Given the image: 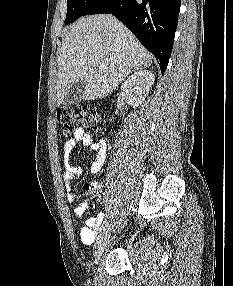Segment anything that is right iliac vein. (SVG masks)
<instances>
[{
  "instance_id": "right-iliac-vein-1",
  "label": "right iliac vein",
  "mask_w": 233,
  "mask_h": 286,
  "mask_svg": "<svg viewBox=\"0 0 233 286\" xmlns=\"http://www.w3.org/2000/svg\"><path fill=\"white\" fill-rule=\"evenodd\" d=\"M109 235H110V229L106 228L105 230H103V232L99 234V236L96 239L94 245V257L96 262L99 261L102 256L103 249L107 243Z\"/></svg>"
}]
</instances>
